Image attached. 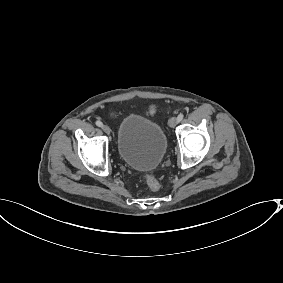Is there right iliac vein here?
<instances>
[{
  "mask_svg": "<svg viewBox=\"0 0 283 283\" xmlns=\"http://www.w3.org/2000/svg\"><path fill=\"white\" fill-rule=\"evenodd\" d=\"M102 129L105 133L110 134V128L107 125H103Z\"/></svg>",
  "mask_w": 283,
  "mask_h": 283,
  "instance_id": "obj_1",
  "label": "right iliac vein"
}]
</instances>
